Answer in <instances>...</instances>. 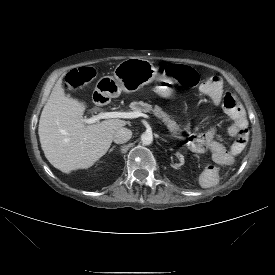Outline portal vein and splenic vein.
Masks as SVG:
<instances>
[{
	"mask_svg": "<svg viewBox=\"0 0 275 275\" xmlns=\"http://www.w3.org/2000/svg\"><path fill=\"white\" fill-rule=\"evenodd\" d=\"M143 116L141 112H100L99 114L91 117L83 119L82 121L86 124H94L101 119L107 118H124V119H133Z\"/></svg>",
	"mask_w": 275,
	"mask_h": 275,
	"instance_id": "18ae733b",
	"label": "portal vein and splenic vein"
}]
</instances>
